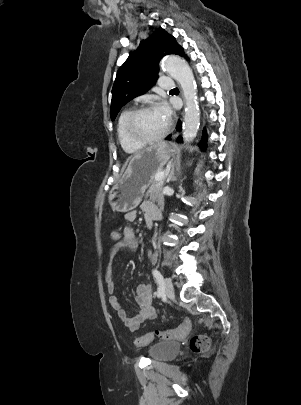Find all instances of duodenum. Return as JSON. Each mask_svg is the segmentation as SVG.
I'll list each match as a JSON object with an SVG mask.
<instances>
[{
	"label": "duodenum",
	"mask_w": 301,
	"mask_h": 405,
	"mask_svg": "<svg viewBox=\"0 0 301 405\" xmlns=\"http://www.w3.org/2000/svg\"><path fill=\"white\" fill-rule=\"evenodd\" d=\"M147 226H148V228H151V227H152V223H151L150 221H148V222H147Z\"/></svg>",
	"instance_id": "obj_1"
}]
</instances>
